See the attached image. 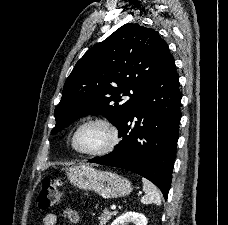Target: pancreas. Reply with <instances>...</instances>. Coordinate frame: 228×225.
<instances>
[{"label":"pancreas","mask_w":228,"mask_h":225,"mask_svg":"<svg viewBox=\"0 0 228 225\" xmlns=\"http://www.w3.org/2000/svg\"><path fill=\"white\" fill-rule=\"evenodd\" d=\"M112 215H117V211H113V213H110V211H107V209H105L101 217H99V225H106V223L110 221Z\"/></svg>","instance_id":"cf45deb5"}]
</instances>
